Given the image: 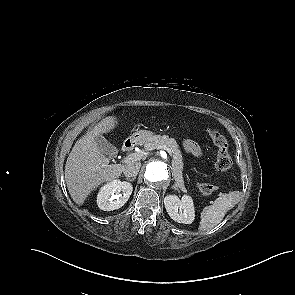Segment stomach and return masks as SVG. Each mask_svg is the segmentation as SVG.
Listing matches in <instances>:
<instances>
[{
	"label": "stomach",
	"mask_w": 295,
	"mask_h": 295,
	"mask_svg": "<svg viewBox=\"0 0 295 295\" xmlns=\"http://www.w3.org/2000/svg\"><path fill=\"white\" fill-rule=\"evenodd\" d=\"M154 136V133L151 131L140 130L133 133L130 137V140L138 144H144L149 142Z\"/></svg>",
	"instance_id": "stomach-1"
}]
</instances>
